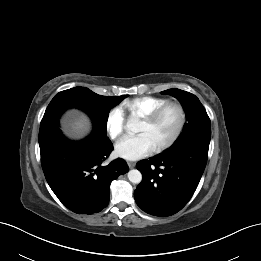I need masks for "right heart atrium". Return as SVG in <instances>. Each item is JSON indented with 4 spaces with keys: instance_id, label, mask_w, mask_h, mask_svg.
<instances>
[{
    "instance_id": "obj_1",
    "label": "right heart atrium",
    "mask_w": 261,
    "mask_h": 261,
    "mask_svg": "<svg viewBox=\"0 0 261 261\" xmlns=\"http://www.w3.org/2000/svg\"><path fill=\"white\" fill-rule=\"evenodd\" d=\"M126 127V118L120 107L112 108L106 115L105 128L111 139L118 138Z\"/></svg>"
}]
</instances>
